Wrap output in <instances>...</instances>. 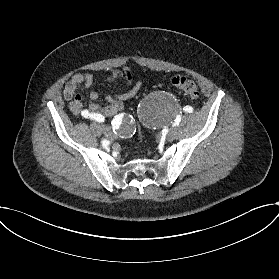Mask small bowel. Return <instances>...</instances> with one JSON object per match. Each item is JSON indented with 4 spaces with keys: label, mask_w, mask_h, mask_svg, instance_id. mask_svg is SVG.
I'll return each mask as SVG.
<instances>
[{
    "label": "small bowel",
    "mask_w": 279,
    "mask_h": 279,
    "mask_svg": "<svg viewBox=\"0 0 279 279\" xmlns=\"http://www.w3.org/2000/svg\"><path fill=\"white\" fill-rule=\"evenodd\" d=\"M133 78L132 69L125 66L121 69L112 70L105 78V83L113 86L119 79H124L127 84L131 83ZM94 84V77L89 73H76L65 85L63 96L70 102V109L73 114L79 118L90 119L95 114L112 115L125 107L128 100L132 99L138 93L141 83L138 82L131 89L111 94L105 97V103L99 104L92 102L85 106L79 89L90 90L89 98L93 101L97 100L99 95L96 91L91 90Z\"/></svg>",
    "instance_id": "small-bowel-1"
}]
</instances>
